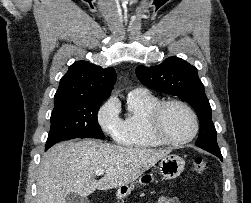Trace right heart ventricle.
I'll use <instances>...</instances> for the list:
<instances>
[{"mask_svg":"<svg viewBox=\"0 0 251 203\" xmlns=\"http://www.w3.org/2000/svg\"><path fill=\"white\" fill-rule=\"evenodd\" d=\"M160 100L151 95L128 96V113L122 120L119 132L115 140L123 147L133 149H148L161 145L148 131V116L151 109Z\"/></svg>","mask_w":251,"mask_h":203,"instance_id":"1","label":"right heart ventricle"}]
</instances>
